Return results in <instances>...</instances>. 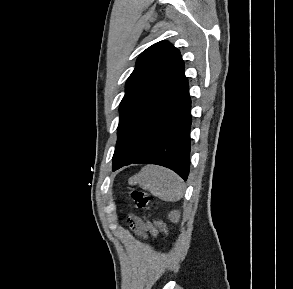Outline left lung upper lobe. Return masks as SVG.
Returning a JSON list of instances; mask_svg holds the SVG:
<instances>
[{
  "instance_id": "obj_1",
  "label": "left lung upper lobe",
  "mask_w": 293,
  "mask_h": 289,
  "mask_svg": "<svg viewBox=\"0 0 293 289\" xmlns=\"http://www.w3.org/2000/svg\"><path fill=\"white\" fill-rule=\"evenodd\" d=\"M184 76L180 52L168 41L147 48L137 59L136 67L127 79L125 95L120 103L117 144L113 155V171L132 156L119 145L130 125L152 107Z\"/></svg>"
}]
</instances>
